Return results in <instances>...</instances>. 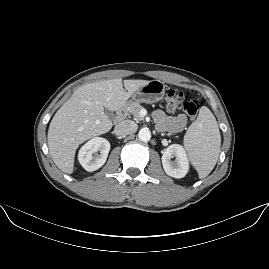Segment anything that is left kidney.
I'll return each instance as SVG.
<instances>
[{
    "mask_svg": "<svg viewBox=\"0 0 269 269\" xmlns=\"http://www.w3.org/2000/svg\"><path fill=\"white\" fill-rule=\"evenodd\" d=\"M176 155L175 161L171 157ZM162 164L165 172L175 178H183L190 171V161L185 147L182 144H172L162 156Z\"/></svg>",
    "mask_w": 269,
    "mask_h": 269,
    "instance_id": "left-kidney-1",
    "label": "left kidney"
}]
</instances>
